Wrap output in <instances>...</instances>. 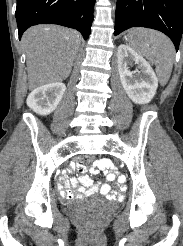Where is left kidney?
Segmentation results:
<instances>
[{"label":"left kidney","instance_id":"obj_1","mask_svg":"<svg viewBox=\"0 0 183 246\" xmlns=\"http://www.w3.org/2000/svg\"><path fill=\"white\" fill-rule=\"evenodd\" d=\"M132 62H135L140 70L130 71L129 65ZM117 63L122 86L129 98L137 104L149 103L158 87V79L150 64L124 44L117 49Z\"/></svg>","mask_w":183,"mask_h":246}]
</instances>
